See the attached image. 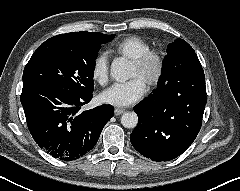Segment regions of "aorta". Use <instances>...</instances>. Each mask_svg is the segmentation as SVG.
I'll list each match as a JSON object with an SVG mask.
<instances>
[{
    "label": "aorta",
    "mask_w": 240,
    "mask_h": 191,
    "mask_svg": "<svg viewBox=\"0 0 240 191\" xmlns=\"http://www.w3.org/2000/svg\"><path fill=\"white\" fill-rule=\"evenodd\" d=\"M110 74L116 81L125 82L131 75L129 63L122 58L115 59L111 64ZM137 123L138 116L135 112H126L121 116V124L125 128H134Z\"/></svg>",
    "instance_id": "aorta-1"
}]
</instances>
